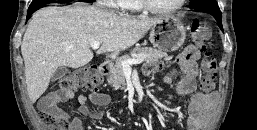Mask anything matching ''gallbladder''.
Masks as SVG:
<instances>
[{"label":"gallbladder","mask_w":257,"mask_h":130,"mask_svg":"<svg viewBox=\"0 0 257 130\" xmlns=\"http://www.w3.org/2000/svg\"><path fill=\"white\" fill-rule=\"evenodd\" d=\"M69 72V70L67 69V67L65 66H61L59 67L55 73L52 76V82H55L59 79H61L62 77H64L67 73Z\"/></svg>","instance_id":"obj_1"}]
</instances>
